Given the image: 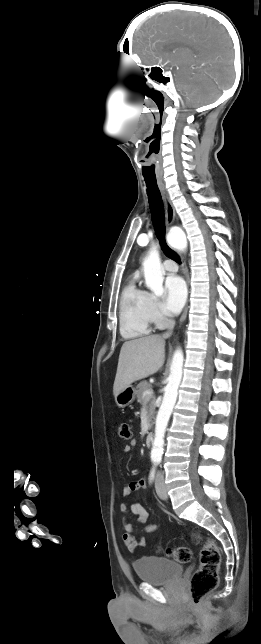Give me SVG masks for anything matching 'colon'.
Masks as SVG:
<instances>
[{"label":"colon","mask_w":261,"mask_h":644,"mask_svg":"<svg viewBox=\"0 0 261 644\" xmlns=\"http://www.w3.org/2000/svg\"><path fill=\"white\" fill-rule=\"evenodd\" d=\"M119 436L124 440L132 437L128 423H121ZM193 539L197 542L202 540L198 533L193 534ZM166 554L179 563H187L191 560V550L185 546L169 548ZM220 562L221 555L217 544L212 539L205 540L200 552L199 567L190 579L189 596L194 605H199L205 596L216 588Z\"/></svg>","instance_id":"colon-1"}]
</instances>
